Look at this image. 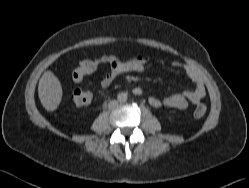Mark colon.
<instances>
[{
    "mask_svg": "<svg viewBox=\"0 0 249 188\" xmlns=\"http://www.w3.org/2000/svg\"><path fill=\"white\" fill-rule=\"evenodd\" d=\"M109 60V58L107 59ZM103 61H106L104 59ZM97 62L93 60H83L81 61L72 72V79L75 82H79L81 79H83L85 76L91 74L96 69ZM91 93L88 90L84 89H76L73 91L71 98L75 105L77 106H86L91 101ZM206 113V106L204 104H199L194 109L193 115L196 118H201Z\"/></svg>",
    "mask_w": 249,
    "mask_h": 188,
    "instance_id": "1",
    "label": "colon"
}]
</instances>
